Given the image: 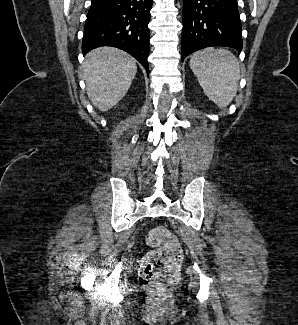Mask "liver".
Returning <instances> with one entry per match:
<instances>
[{"label": "liver", "mask_w": 298, "mask_h": 325, "mask_svg": "<svg viewBox=\"0 0 298 325\" xmlns=\"http://www.w3.org/2000/svg\"><path fill=\"white\" fill-rule=\"evenodd\" d=\"M82 66L88 98L103 112L125 96L137 72L135 58L113 46L90 50Z\"/></svg>", "instance_id": "6515ba94"}]
</instances>
